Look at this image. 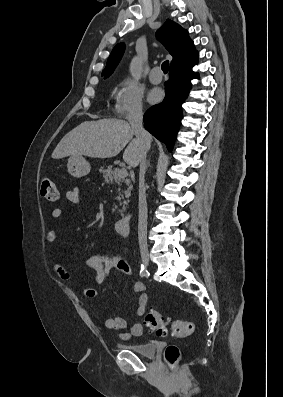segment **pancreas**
Wrapping results in <instances>:
<instances>
[{"mask_svg":"<svg viewBox=\"0 0 283 397\" xmlns=\"http://www.w3.org/2000/svg\"><path fill=\"white\" fill-rule=\"evenodd\" d=\"M118 171L119 169L115 168L113 169L112 166H108L106 169L102 168L101 172L103 173V178L105 179V182L108 184H113V183H118L120 184L121 182H125L129 188L127 190H124L119 192V195L117 196V200L121 201L124 197L129 198L131 196V185H130V180L129 179H124V178H119L118 177ZM118 191H120V188H118ZM127 202L120 203L121 206H123V210L125 209V206L127 205ZM122 214V211H121ZM123 215V214H122Z\"/></svg>","mask_w":283,"mask_h":397,"instance_id":"cf45deb5","label":"pancreas"}]
</instances>
